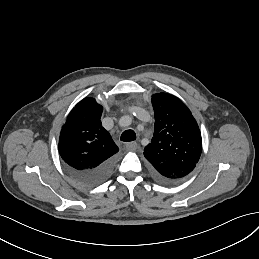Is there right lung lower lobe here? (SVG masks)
<instances>
[{
  "label": "right lung lower lobe",
  "instance_id": "obj_1",
  "mask_svg": "<svg viewBox=\"0 0 259 259\" xmlns=\"http://www.w3.org/2000/svg\"><path fill=\"white\" fill-rule=\"evenodd\" d=\"M115 161V157H113L95 168L77 170L68 166L67 170L79 182L85 185H95L105 180L111 174Z\"/></svg>",
  "mask_w": 259,
  "mask_h": 259
}]
</instances>
